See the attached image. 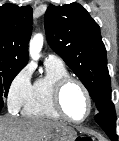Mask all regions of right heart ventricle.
<instances>
[{"mask_svg":"<svg viewBox=\"0 0 119 141\" xmlns=\"http://www.w3.org/2000/svg\"><path fill=\"white\" fill-rule=\"evenodd\" d=\"M45 65L46 74L32 84L23 106V114L27 117L59 120L60 116L52 101V90L59 79L70 76V74L63 63L45 61Z\"/></svg>","mask_w":119,"mask_h":141,"instance_id":"right-heart-ventricle-1","label":"right heart ventricle"}]
</instances>
